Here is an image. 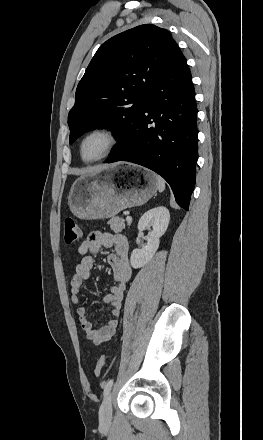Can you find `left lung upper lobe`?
Returning a JSON list of instances; mask_svg holds the SVG:
<instances>
[{"label":"left lung upper lobe","mask_w":263,"mask_h":440,"mask_svg":"<svg viewBox=\"0 0 263 440\" xmlns=\"http://www.w3.org/2000/svg\"><path fill=\"white\" fill-rule=\"evenodd\" d=\"M176 42L155 25L144 24L103 43L76 89L69 112V143L95 128H107L119 139L112 153L130 142V133L147 94Z\"/></svg>","instance_id":"left-lung-upper-lobe-1"}]
</instances>
